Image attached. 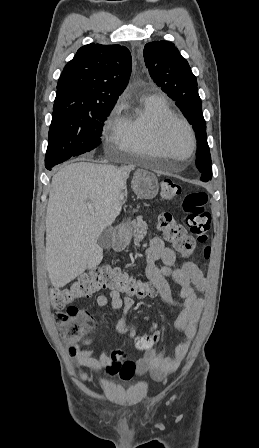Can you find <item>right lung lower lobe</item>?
<instances>
[{"instance_id": "right-lung-lower-lobe-1", "label": "right lung lower lobe", "mask_w": 259, "mask_h": 448, "mask_svg": "<svg viewBox=\"0 0 259 448\" xmlns=\"http://www.w3.org/2000/svg\"><path fill=\"white\" fill-rule=\"evenodd\" d=\"M53 167H51V168H47L48 170H51Z\"/></svg>"}]
</instances>
